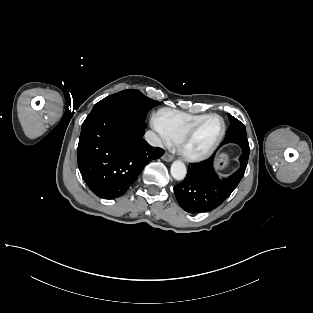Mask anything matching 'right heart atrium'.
I'll list each match as a JSON object with an SVG mask.
<instances>
[{"label":"right heart atrium","instance_id":"right-heart-atrium-1","mask_svg":"<svg viewBox=\"0 0 313 313\" xmlns=\"http://www.w3.org/2000/svg\"><path fill=\"white\" fill-rule=\"evenodd\" d=\"M152 124H153L154 128L159 132L162 144L170 145L171 144L170 141L167 139V137L163 134V132L159 129V127L157 125L156 116L153 118Z\"/></svg>","mask_w":313,"mask_h":313}]
</instances>
